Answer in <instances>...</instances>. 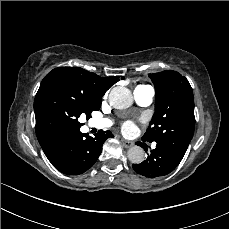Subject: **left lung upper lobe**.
Listing matches in <instances>:
<instances>
[{
	"label": "left lung upper lobe",
	"instance_id": "1",
	"mask_svg": "<svg viewBox=\"0 0 229 229\" xmlns=\"http://www.w3.org/2000/svg\"><path fill=\"white\" fill-rule=\"evenodd\" d=\"M148 76L155 86V114L142 140L165 144L184 156L195 127L191 85L180 73L172 70Z\"/></svg>",
	"mask_w": 229,
	"mask_h": 229
}]
</instances>
